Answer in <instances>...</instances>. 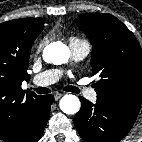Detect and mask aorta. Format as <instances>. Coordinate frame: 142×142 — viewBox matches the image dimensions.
Returning a JSON list of instances; mask_svg holds the SVG:
<instances>
[{
    "mask_svg": "<svg viewBox=\"0 0 142 142\" xmlns=\"http://www.w3.org/2000/svg\"><path fill=\"white\" fill-rule=\"evenodd\" d=\"M69 56V48L63 43H52L43 51L44 60L53 64H63L69 59ZM59 106L65 114L73 115L79 111L81 103L77 96L68 94L61 98Z\"/></svg>",
    "mask_w": 142,
    "mask_h": 142,
    "instance_id": "1",
    "label": "aorta"
}]
</instances>
